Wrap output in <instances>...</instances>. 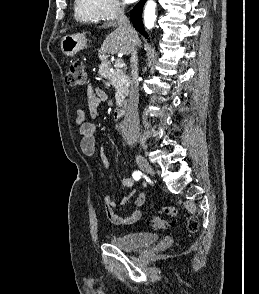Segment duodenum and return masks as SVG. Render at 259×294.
<instances>
[{
	"label": "duodenum",
	"instance_id": "1",
	"mask_svg": "<svg viewBox=\"0 0 259 294\" xmlns=\"http://www.w3.org/2000/svg\"><path fill=\"white\" fill-rule=\"evenodd\" d=\"M115 118L116 119H127L130 126H132V121L128 119V113L126 107L123 105H119L115 110Z\"/></svg>",
	"mask_w": 259,
	"mask_h": 294
}]
</instances>
